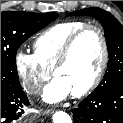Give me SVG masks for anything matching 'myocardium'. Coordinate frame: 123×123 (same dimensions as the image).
<instances>
[{
	"label": "myocardium",
	"mask_w": 123,
	"mask_h": 123,
	"mask_svg": "<svg viewBox=\"0 0 123 123\" xmlns=\"http://www.w3.org/2000/svg\"><path fill=\"white\" fill-rule=\"evenodd\" d=\"M90 30L96 31L99 36L101 42V60L92 80L83 89L73 92L72 95L74 97H83L88 95L99 85L103 78L109 60L108 42L103 29L96 24H86L74 32L65 42L60 57L52 69L53 75L56 76L57 71L68 62L77 40Z\"/></svg>",
	"instance_id": "obj_1"
}]
</instances>
